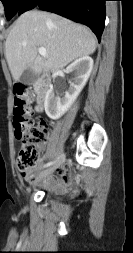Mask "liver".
Returning a JSON list of instances; mask_svg holds the SVG:
<instances>
[{
  "instance_id": "6515ba94",
  "label": "liver",
  "mask_w": 133,
  "mask_h": 253,
  "mask_svg": "<svg viewBox=\"0 0 133 253\" xmlns=\"http://www.w3.org/2000/svg\"><path fill=\"white\" fill-rule=\"evenodd\" d=\"M44 47L47 55H38ZM96 40L87 27L53 13L28 11L14 23L5 42V56L15 81L26 69L39 75L64 68L94 53Z\"/></svg>"
}]
</instances>
